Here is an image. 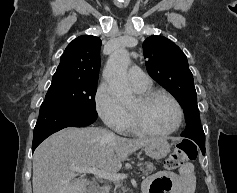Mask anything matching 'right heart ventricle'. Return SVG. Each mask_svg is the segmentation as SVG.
Returning <instances> with one entry per match:
<instances>
[{"instance_id": "e07e8e85", "label": "right heart ventricle", "mask_w": 237, "mask_h": 193, "mask_svg": "<svg viewBox=\"0 0 237 193\" xmlns=\"http://www.w3.org/2000/svg\"><path fill=\"white\" fill-rule=\"evenodd\" d=\"M146 90H142V91H139V92L144 93ZM124 131H134L131 124H130V118L128 119V123H127L126 129Z\"/></svg>"}]
</instances>
